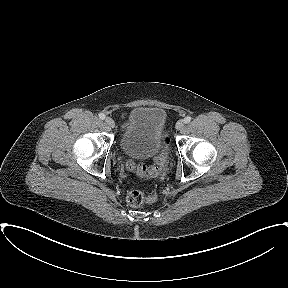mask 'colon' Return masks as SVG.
<instances>
[{
	"label": "colon",
	"instance_id": "1",
	"mask_svg": "<svg viewBox=\"0 0 288 288\" xmlns=\"http://www.w3.org/2000/svg\"><path fill=\"white\" fill-rule=\"evenodd\" d=\"M166 155L162 154L156 159L155 165L147 167L143 164L128 163V168L133 170L140 177H148L154 175L158 169L164 164ZM155 199L154 195H145L140 191L133 190L127 194V203L132 207H139L144 203L151 202Z\"/></svg>",
	"mask_w": 288,
	"mask_h": 288
}]
</instances>
